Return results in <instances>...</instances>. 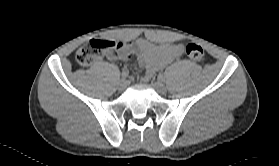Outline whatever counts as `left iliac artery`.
<instances>
[{
	"mask_svg": "<svg viewBox=\"0 0 279 166\" xmlns=\"http://www.w3.org/2000/svg\"><path fill=\"white\" fill-rule=\"evenodd\" d=\"M158 80H160V81H164V80H165V76H164V75H162V74H160V75L158 76Z\"/></svg>",
	"mask_w": 279,
	"mask_h": 166,
	"instance_id": "left-iliac-artery-1",
	"label": "left iliac artery"
}]
</instances>
